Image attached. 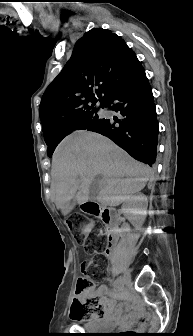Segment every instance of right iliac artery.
I'll return each mask as SVG.
<instances>
[{"mask_svg":"<svg viewBox=\"0 0 193 336\" xmlns=\"http://www.w3.org/2000/svg\"><path fill=\"white\" fill-rule=\"evenodd\" d=\"M121 279H122V277H118V278L115 280V282H114V284H113L114 290H117V289L119 288L120 283H121ZM112 296H113L115 299H118V298L121 297V293L115 291V292L112 293Z\"/></svg>","mask_w":193,"mask_h":336,"instance_id":"obj_1","label":"right iliac artery"}]
</instances>
